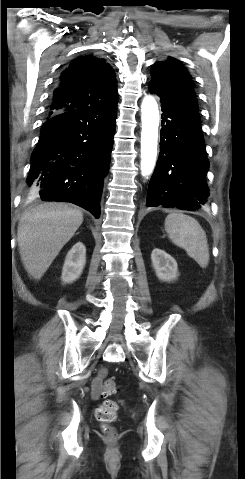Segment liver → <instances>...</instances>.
Wrapping results in <instances>:
<instances>
[{
    "label": "liver",
    "mask_w": 245,
    "mask_h": 479,
    "mask_svg": "<svg viewBox=\"0 0 245 479\" xmlns=\"http://www.w3.org/2000/svg\"><path fill=\"white\" fill-rule=\"evenodd\" d=\"M82 222L80 210L62 203H45L25 211L19 220L17 241L31 277L41 279Z\"/></svg>",
    "instance_id": "1"
}]
</instances>
